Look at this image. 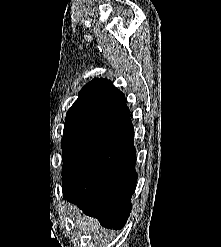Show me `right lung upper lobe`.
<instances>
[{"instance_id":"cb5924a9","label":"right lung upper lobe","mask_w":221,"mask_h":247,"mask_svg":"<svg viewBox=\"0 0 221 247\" xmlns=\"http://www.w3.org/2000/svg\"><path fill=\"white\" fill-rule=\"evenodd\" d=\"M130 113L125 96L108 79H94L79 93L67 112L65 128L88 129Z\"/></svg>"}]
</instances>
